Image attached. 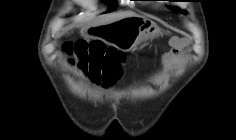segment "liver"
<instances>
[{"label":"liver","instance_id":"liver-1","mask_svg":"<svg viewBox=\"0 0 236 140\" xmlns=\"http://www.w3.org/2000/svg\"><path fill=\"white\" fill-rule=\"evenodd\" d=\"M132 15H135V14L134 13L113 14V15H110L109 17H107L106 19H104L103 21H101L100 23L94 25V27L105 25V24H109V23L115 22V21H117L119 19H122L124 17L132 16Z\"/></svg>","mask_w":236,"mask_h":140}]
</instances>
